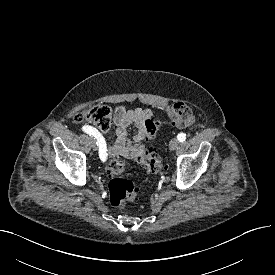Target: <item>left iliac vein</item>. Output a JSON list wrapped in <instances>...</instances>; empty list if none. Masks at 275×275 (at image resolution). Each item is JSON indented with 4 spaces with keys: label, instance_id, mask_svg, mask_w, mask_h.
Instances as JSON below:
<instances>
[{
    "label": "left iliac vein",
    "instance_id": "4c4485c4",
    "mask_svg": "<svg viewBox=\"0 0 275 275\" xmlns=\"http://www.w3.org/2000/svg\"><path fill=\"white\" fill-rule=\"evenodd\" d=\"M178 146H179V141L176 138H173L169 143L170 150L172 151L176 150Z\"/></svg>",
    "mask_w": 275,
    "mask_h": 275
}]
</instances>
